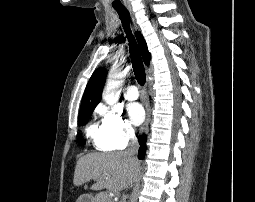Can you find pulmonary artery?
I'll list each match as a JSON object with an SVG mask.
<instances>
[{
	"instance_id": "obj_1",
	"label": "pulmonary artery",
	"mask_w": 255,
	"mask_h": 202,
	"mask_svg": "<svg viewBox=\"0 0 255 202\" xmlns=\"http://www.w3.org/2000/svg\"><path fill=\"white\" fill-rule=\"evenodd\" d=\"M124 96L128 100H136L139 96L137 87L135 85H128L124 91Z\"/></svg>"
}]
</instances>
